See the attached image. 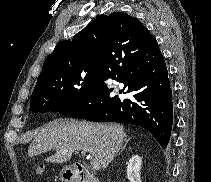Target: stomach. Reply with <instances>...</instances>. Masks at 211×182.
<instances>
[{
	"label": "stomach",
	"instance_id": "stomach-1",
	"mask_svg": "<svg viewBox=\"0 0 211 182\" xmlns=\"http://www.w3.org/2000/svg\"><path fill=\"white\" fill-rule=\"evenodd\" d=\"M77 174L71 167H64L60 172L62 182H76Z\"/></svg>",
	"mask_w": 211,
	"mask_h": 182
}]
</instances>
